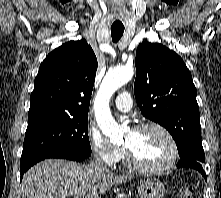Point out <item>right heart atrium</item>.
Returning <instances> with one entry per match:
<instances>
[{"mask_svg": "<svg viewBox=\"0 0 221 198\" xmlns=\"http://www.w3.org/2000/svg\"><path fill=\"white\" fill-rule=\"evenodd\" d=\"M87 138L93 155L107 166H114L119 162L123 151L111 143L99 130L89 127Z\"/></svg>", "mask_w": 221, "mask_h": 198, "instance_id": "obj_1", "label": "right heart atrium"}]
</instances>
